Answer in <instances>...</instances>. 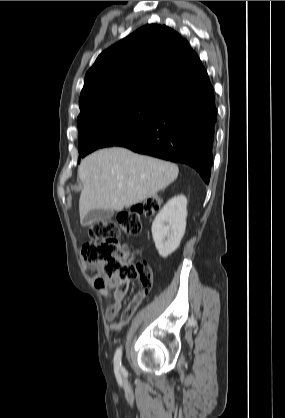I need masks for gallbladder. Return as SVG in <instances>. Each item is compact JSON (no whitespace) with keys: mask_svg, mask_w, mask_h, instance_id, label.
I'll return each instance as SVG.
<instances>
[{"mask_svg":"<svg viewBox=\"0 0 285 418\" xmlns=\"http://www.w3.org/2000/svg\"><path fill=\"white\" fill-rule=\"evenodd\" d=\"M113 216V210L93 209L81 219V224L88 226L94 222L110 220Z\"/></svg>","mask_w":285,"mask_h":418,"instance_id":"1","label":"gallbladder"}]
</instances>
